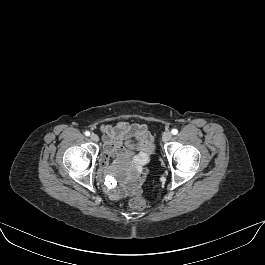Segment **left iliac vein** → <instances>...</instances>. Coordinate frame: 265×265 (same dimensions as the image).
Here are the masks:
<instances>
[{"label":"left iliac vein","instance_id":"1","mask_svg":"<svg viewBox=\"0 0 265 265\" xmlns=\"http://www.w3.org/2000/svg\"><path fill=\"white\" fill-rule=\"evenodd\" d=\"M171 138H172V134L169 131L164 132L163 135H162V141L163 142H168V141L171 140Z\"/></svg>","mask_w":265,"mask_h":265}]
</instances>
